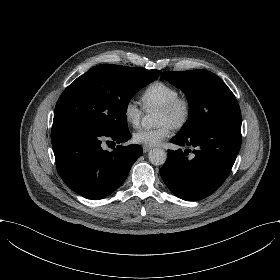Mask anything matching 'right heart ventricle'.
<instances>
[{"mask_svg":"<svg viewBox=\"0 0 280 280\" xmlns=\"http://www.w3.org/2000/svg\"><path fill=\"white\" fill-rule=\"evenodd\" d=\"M180 95L179 90L166 82L155 81L149 84L141 93V100L146 109L159 107Z\"/></svg>","mask_w":280,"mask_h":280,"instance_id":"obj_1","label":"right heart ventricle"}]
</instances>
